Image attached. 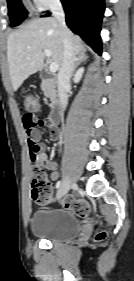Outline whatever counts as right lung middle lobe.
<instances>
[{
	"label": "right lung middle lobe",
	"instance_id": "dd1d6c3e",
	"mask_svg": "<svg viewBox=\"0 0 134 281\" xmlns=\"http://www.w3.org/2000/svg\"><path fill=\"white\" fill-rule=\"evenodd\" d=\"M11 26H18L26 17V11L21 0H7Z\"/></svg>",
	"mask_w": 134,
	"mask_h": 281
}]
</instances>
